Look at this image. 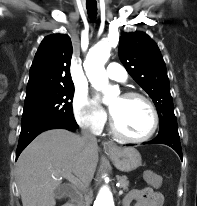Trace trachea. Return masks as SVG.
I'll return each instance as SVG.
<instances>
[{"label":"trachea","instance_id":"3493384b","mask_svg":"<svg viewBox=\"0 0 197 206\" xmlns=\"http://www.w3.org/2000/svg\"><path fill=\"white\" fill-rule=\"evenodd\" d=\"M86 7L90 18L95 19L97 14V2L87 0Z\"/></svg>","mask_w":197,"mask_h":206}]
</instances>
